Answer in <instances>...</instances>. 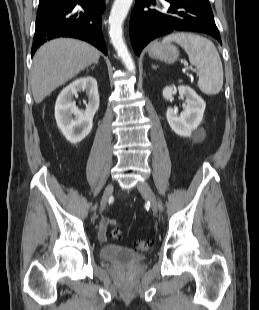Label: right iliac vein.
<instances>
[{
	"instance_id": "63e3f726",
	"label": "right iliac vein",
	"mask_w": 259,
	"mask_h": 310,
	"mask_svg": "<svg viewBox=\"0 0 259 310\" xmlns=\"http://www.w3.org/2000/svg\"><path fill=\"white\" fill-rule=\"evenodd\" d=\"M113 189H114V187L112 184H109L106 186L104 193H103L102 200H101L100 213H102L104 211V209L106 208L108 199L113 193Z\"/></svg>"
}]
</instances>
